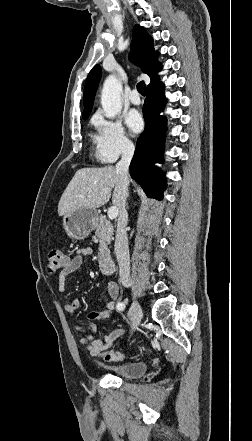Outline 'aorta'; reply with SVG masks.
<instances>
[{
	"instance_id": "762f6f07",
	"label": "aorta",
	"mask_w": 252,
	"mask_h": 441,
	"mask_svg": "<svg viewBox=\"0 0 252 441\" xmlns=\"http://www.w3.org/2000/svg\"><path fill=\"white\" fill-rule=\"evenodd\" d=\"M121 92L120 81L114 75H109L103 84L101 93V105L107 118H114L121 112Z\"/></svg>"
}]
</instances>
